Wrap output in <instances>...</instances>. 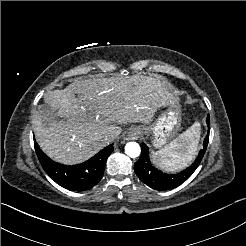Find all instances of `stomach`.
Returning <instances> with one entry per match:
<instances>
[{
  "instance_id": "0dacf381",
  "label": "stomach",
  "mask_w": 246,
  "mask_h": 246,
  "mask_svg": "<svg viewBox=\"0 0 246 246\" xmlns=\"http://www.w3.org/2000/svg\"><path fill=\"white\" fill-rule=\"evenodd\" d=\"M180 113L178 109L168 108L154 123L141 126L139 129L146 136L152 134V144L156 148L164 146L179 125Z\"/></svg>"
}]
</instances>
